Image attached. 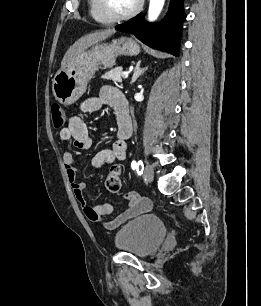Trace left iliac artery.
<instances>
[{
  "label": "left iliac artery",
  "instance_id": "1",
  "mask_svg": "<svg viewBox=\"0 0 261 306\" xmlns=\"http://www.w3.org/2000/svg\"><path fill=\"white\" fill-rule=\"evenodd\" d=\"M131 167H132L133 170L136 169L138 174L143 173L144 165H143V162L141 160H139L138 162L132 161Z\"/></svg>",
  "mask_w": 261,
  "mask_h": 306
}]
</instances>
